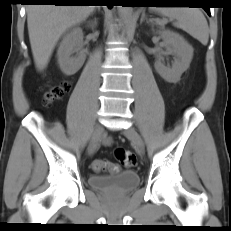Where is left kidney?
Listing matches in <instances>:
<instances>
[{"label":"left kidney","mask_w":231,"mask_h":231,"mask_svg":"<svg viewBox=\"0 0 231 231\" xmlns=\"http://www.w3.org/2000/svg\"><path fill=\"white\" fill-rule=\"evenodd\" d=\"M160 37L168 52L175 55L172 67L165 66L159 59L155 69L169 83H177L181 75L188 69L193 58V47L178 33L170 30L159 31Z\"/></svg>","instance_id":"left-kidney-1"}]
</instances>
